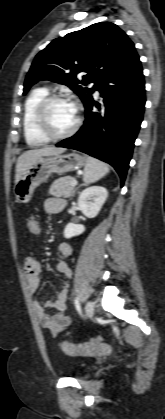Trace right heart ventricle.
I'll return each instance as SVG.
<instances>
[{"mask_svg":"<svg viewBox=\"0 0 165 419\" xmlns=\"http://www.w3.org/2000/svg\"><path fill=\"white\" fill-rule=\"evenodd\" d=\"M49 95L47 88L40 87L32 90L24 103L23 133L26 142L31 146H40L49 140L38 130L35 121V111L39 102Z\"/></svg>","mask_w":165,"mask_h":419,"instance_id":"obj_1","label":"right heart ventricle"}]
</instances>
